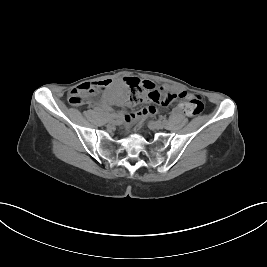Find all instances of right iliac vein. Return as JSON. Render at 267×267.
Here are the masks:
<instances>
[{
  "label": "right iliac vein",
  "instance_id": "obj_1",
  "mask_svg": "<svg viewBox=\"0 0 267 267\" xmlns=\"http://www.w3.org/2000/svg\"><path fill=\"white\" fill-rule=\"evenodd\" d=\"M108 122H109L110 124H112V125L116 123V121H115L114 119L108 120Z\"/></svg>",
  "mask_w": 267,
  "mask_h": 267
}]
</instances>
